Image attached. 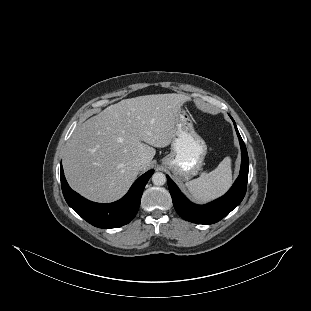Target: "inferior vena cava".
<instances>
[{
  "mask_svg": "<svg viewBox=\"0 0 311 311\" xmlns=\"http://www.w3.org/2000/svg\"><path fill=\"white\" fill-rule=\"evenodd\" d=\"M134 166L140 167L142 165V160L140 158L135 159Z\"/></svg>",
  "mask_w": 311,
  "mask_h": 311,
  "instance_id": "inferior-vena-cava-1",
  "label": "inferior vena cava"
}]
</instances>
